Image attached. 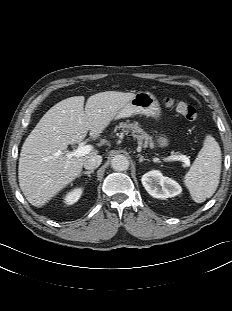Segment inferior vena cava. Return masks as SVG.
<instances>
[{"label":"inferior vena cava","instance_id":"602c4592","mask_svg":"<svg viewBox=\"0 0 232 311\" xmlns=\"http://www.w3.org/2000/svg\"><path fill=\"white\" fill-rule=\"evenodd\" d=\"M102 157L100 155H94L87 158L84 162V168L87 170H93L100 166Z\"/></svg>","mask_w":232,"mask_h":311}]
</instances>
